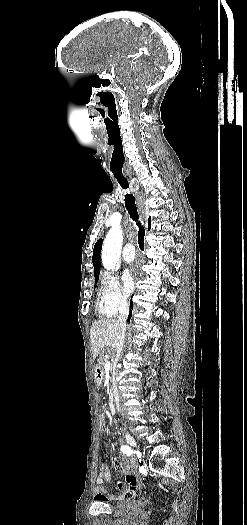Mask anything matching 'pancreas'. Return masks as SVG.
Segmentation results:
<instances>
[{
  "label": "pancreas",
  "mask_w": 247,
  "mask_h": 525,
  "mask_svg": "<svg viewBox=\"0 0 247 525\" xmlns=\"http://www.w3.org/2000/svg\"><path fill=\"white\" fill-rule=\"evenodd\" d=\"M99 358H100V364H104L103 355H99ZM105 361H106V359H105ZM111 369H114V367H111Z\"/></svg>",
  "instance_id": "cf45deb5"
}]
</instances>
